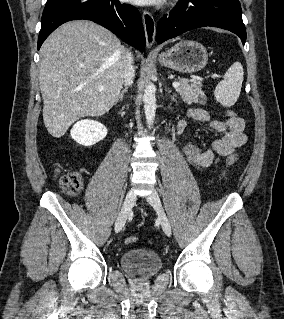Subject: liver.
Returning a JSON list of instances; mask_svg holds the SVG:
<instances>
[{
  "instance_id": "obj_1",
  "label": "liver",
  "mask_w": 284,
  "mask_h": 319,
  "mask_svg": "<svg viewBox=\"0 0 284 319\" xmlns=\"http://www.w3.org/2000/svg\"><path fill=\"white\" fill-rule=\"evenodd\" d=\"M40 52L43 121L53 137H62L79 118L101 116L115 104L127 50L113 33L91 21H71L54 31Z\"/></svg>"
}]
</instances>
